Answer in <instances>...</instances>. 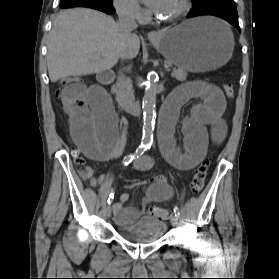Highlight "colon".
<instances>
[{"mask_svg":"<svg viewBox=\"0 0 279 279\" xmlns=\"http://www.w3.org/2000/svg\"><path fill=\"white\" fill-rule=\"evenodd\" d=\"M79 79L77 77H70V78H63L59 81V87L56 91V94L59 96L62 89L70 84L77 83ZM224 92L227 97L232 98L234 96V87L231 83H225L224 86ZM74 162L77 165H83L85 163L84 159L75 154L74 156ZM209 170V161L203 160L194 170L193 177L191 180V190L193 194H199L205 185V180L207 177V173ZM148 213L159 219V220H165L168 219L171 215L170 211L166 208L158 207V206H151L148 209Z\"/></svg>","mask_w":279,"mask_h":279,"instance_id":"obj_1","label":"colon"}]
</instances>
